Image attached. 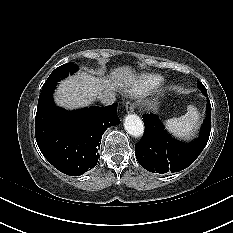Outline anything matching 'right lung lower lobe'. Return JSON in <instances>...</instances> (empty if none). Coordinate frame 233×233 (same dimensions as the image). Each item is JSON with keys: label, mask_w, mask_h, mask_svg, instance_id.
<instances>
[{"label": "right lung lower lobe", "mask_w": 233, "mask_h": 233, "mask_svg": "<svg viewBox=\"0 0 233 233\" xmlns=\"http://www.w3.org/2000/svg\"><path fill=\"white\" fill-rule=\"evenodd\" d=\"M116 112L117 103L68 112L52 101L49 107L36 113L38 147L60 172L81 175L96 166L103 133L120 123Z\"/></svg>", "instance_id": "obj_1"}]
</instances>
